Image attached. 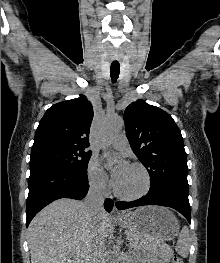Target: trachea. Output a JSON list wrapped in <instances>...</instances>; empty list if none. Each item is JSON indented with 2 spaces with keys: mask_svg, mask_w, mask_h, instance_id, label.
<instances>
[{
  "mask_svg": "<svg viewBox=\"0 0 220 263\" xmlns=\"http://www.w3.org/2000/svg\"><path fill=\"white\" fill-rule=\"evenodd\" d=\"M119 72H120V65L117 64V65H114L112 64L111 65V68H110V75H111V79H112V82L115 83L119 77Z\"/></svg>",
  "mask_w": 220,
  "mask_h": 263,
  "instance_id": "trachea-1",
  "label": "trachea"
}]
</instances>
